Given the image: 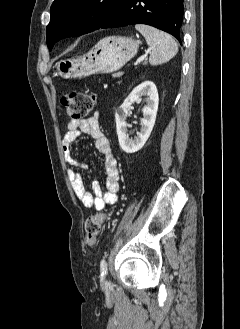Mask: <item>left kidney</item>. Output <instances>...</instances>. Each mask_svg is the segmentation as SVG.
Here are the masks:
<instances>
[{
	"label": "left kidney",
	"instance_id": "left-kidney-1",
	"mask_svg": "<svg viewBox=\"0 0 240 329\" xmlns=\"http://www.w3.org/2000/svg\"><path fill=\"white\" fill-rule=\"evenodd\" d=\"M146 96L147 105L143 108V119L141 120V130L139 134L130 139L127 130L126 118L129 115V110L134 102H137L140 97ZM158 91L155 84L151 81H145L135 87L125 99L123 104L115 113L116 130L120 147L126 153H135L139 151L147 139L149 138L155 124L158 110Z\"/></svg>",
	"mask_w": 240,
	"mask_h": 329
}]
</instances>
